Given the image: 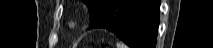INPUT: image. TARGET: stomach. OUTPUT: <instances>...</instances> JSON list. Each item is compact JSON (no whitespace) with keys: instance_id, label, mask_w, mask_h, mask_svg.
<instances>
[{"instance_id":"obj_1","label":"stomach","mask_w":213,"mask_h":48,"mask_svg":"<svg viewBox=\"0 0 213 48\" xmlns=\"http://www.w3.org/2000/svg\"><path fill=\"white\" fill-rule=\"evenodd\" d=\"M99 33H102V34H106V31L104 30H98Z\"/></svg>"}]
</instances>
